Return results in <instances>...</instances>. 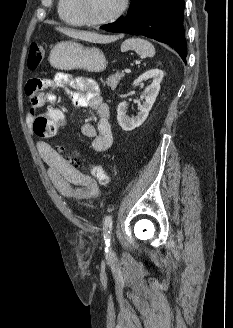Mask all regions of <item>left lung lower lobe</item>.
<instances>
[{
    "label": "left lung lower lobe",
    "instance_id": "0a47b994",
    "mask_svg": "<svg viewBox=\"0 0 233 328\" xmlns=\"http://www.w3.org/2000/svg\"><path fill=\"white\" fill-rule=\"evenodd\" d=\"M183 11L184 0H131L124 18L101 28L108 32L135 33L166 43L185 61Z\"/></svg>",
    "mask_w": 233,
    "mask_h": 328
}]
</instances>
